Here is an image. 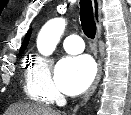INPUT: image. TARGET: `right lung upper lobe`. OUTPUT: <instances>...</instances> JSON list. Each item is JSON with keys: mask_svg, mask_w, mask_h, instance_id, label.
I'll use <instances>...</instances> for the list:
<instances>
[{"mask_svg": "<svg viewBox=\"0 0 131 115\" xmlns=\"http://www.w3.org/2000/svg\"><path fill=\"white\" fill-rule=\"evenodd\" d=\"M30 35H31V29L28 31V33L25 36L24 42H23L21 49H20V53H22L26 49Z\"/></svg>", "mask_w": 131, "mask_h": 115, "instance_id": "right-lung-upper-lobe-1", "label": "right lung upper lobe"}]
</instances>
